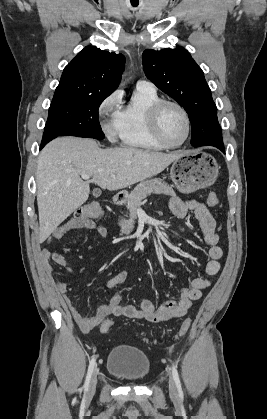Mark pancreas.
I'll return each mask as SVG.
<instances>
[{"label":"pancreas","instance_id":"obj_1","mask_svg":"<svg viewBox=\"0 0 267 419\" xmlns=\"http://www.w3.org/2000/svg\"><path fill=\"white\" fill-rule=\"evenodd\" d=\"M151 193L164 194L168 196L175 195L172 187L160 178L140 182L134 190L131 191L127 198V210L129 211L130 219H121L119 221V226L123 234L128 235L134 229V220L136 218L137 208L141 205V201Z\"/></svg>","mask_w":267,"mask_h":419}]
</instances>
